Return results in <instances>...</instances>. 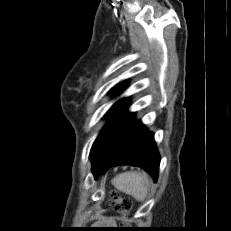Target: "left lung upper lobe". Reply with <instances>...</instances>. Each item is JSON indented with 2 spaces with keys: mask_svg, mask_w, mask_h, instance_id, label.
<instances>
[{
  "mask_svg": "<svg viewBox=\"0 0 231 231\" xmlns=\"http://www.w3.org/2000/svg\"><path fill=\"white\" fill-rule=\"evenodd\" d=\"M126 82H127V81H124V82L119 83L118 85H116L114 88L111 89V92H113L114 94H117V93L121 92V91L126 87V85H127ZM126 104H127L126 100H122V101L116 103V104L107 112V114H106L105 116L113 115L112 119L110 120V122H111V121L115 118V116H117V115L124 109V107H125ZM110 122H109V123H110ZM109 123H108V124H109ZM108 124L104 127V129L102 130L101 134L103 133V131L105 130V128L108 126ZM101 134H100V135H101ZM100 135H99V137H100ZM99 137H98V138H99ZM98 138H97V140H98ZM97 140H96V141H97ZM96 141H95V143H96ZM95 143H94V144H95ZM94 144H93V146H94ZM92 148H93V147H92Z\"/></svg>",
  "mask_w": 231,
  "mask_h": 231,
  "instance_id": "obj_1",
  "label": "left lung upper lobe"
}]
</instances>
